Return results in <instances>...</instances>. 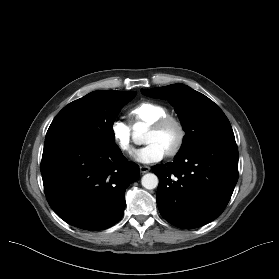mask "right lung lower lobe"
<instances>
[{
	"label": "right lung lower lobe",
	"instance_id": "obj_1",
	"mask_svg": "<svg viewBox=\"0 0 279 279\" xmlns=\"http://www.w3.org/2000/svg\"><path fill=\"white\" fill-rule=\"evenodd\" d=\"M41 174L54 212L84 230H103L117 223L125 208V190L139 177L117 145L100 148L65 139L45 144Z\"/></svg>",
	"mask_w": 279,
	"mask_h": 279
}]
</instances>
